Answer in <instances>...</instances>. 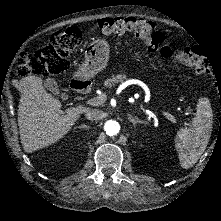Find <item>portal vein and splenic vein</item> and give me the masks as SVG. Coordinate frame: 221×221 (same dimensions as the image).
<instances>
[{
    "instance_id": "1",
    "label": "portal vein and splenic vein",
    "mask_w": 221,
    "mask_h": 221,
    "mask_svg": "<svg viewBox=\"0 0 221 221\" xmlns=\"http://www.w3.org/2000/svg\"><path fill=\"white\" fill-rule=\"evenodd\" d=\"M107 95H108L107 92H105V91L102 92V94H101V95H98L97 98H91V99H90V104H91V105L102 104L103 102L106 101ZM161 114H162L165 118H167V119H169V120H171V121H175L174 116H173L172 114H170L169 112L161 111Z\"/></svg>"
}]
</instances>
